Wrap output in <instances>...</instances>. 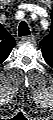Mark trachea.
<instances>
[{"label": "trachea", "mask_w": 53, "mask_h": 120, "mask_svg": "<svg viewBox=\"0 0 53 120\" xmlns=\"http://www.w3.org/2000/svg\"><path fill=\"white\" fill-rule=\"evenodd\" d=\"M18 34L20 37L30 35L29 27L25 21H22L18 27Z\"/></svg>", "instance_id": "1"}]
</instances>
